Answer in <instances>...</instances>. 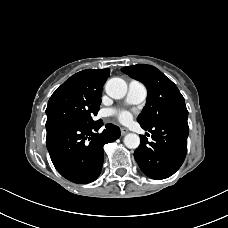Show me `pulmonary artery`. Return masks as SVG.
I'll return each instance as SVG.
<instances>
[{
  "instance_id": "1",
  "label": "pulmonary artery",
  "mask_w": 228,
  "mask_h": 228,
  "mask_svg": "<svg viewBox=\"0 0 228 228\" xmlns=\"http://www.w3.org/2000/svg\"><path fill=\"white\" fill-rule=\"evenodd\" d=\"M146 86L137 80H132L128 85L126 102L128 104H140L147 98Z\"/></svg>"
}]
</instances>
